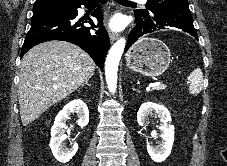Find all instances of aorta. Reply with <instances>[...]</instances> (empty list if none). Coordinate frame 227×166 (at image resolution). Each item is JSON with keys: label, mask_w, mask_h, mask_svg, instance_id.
<instances>
[{"label": "aorta", "mask_w": 227, "mask_h": 166, "mask_svg": "<svg viewBox=\"0 0 227 166\" xmlns=\"http://www.w3.org/2000/svg\"><path fill=\"white\" fill-rule=\"evenodd\" d=\"M126 41L124 38H120L111 47L105 62V76L108 89L111 93H114L117 87V72L118 65L125 48Z\"/></svg>", "instance_id": "762f6f07"}]
</instances>
